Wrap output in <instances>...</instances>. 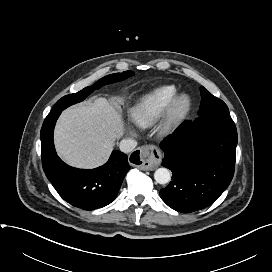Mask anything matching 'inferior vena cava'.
I'll use <instances>...</instances> for the list:
<instances>
[{
  "mask_svg": "<svg viewBox=\"0 0 272 272\" xmlns=\"http://www.w3.org/2000/svg\"><path fill=\"white\" fill-rule=\"evenodd\" d=\"M137 142L133 139H123L119 144V148L124 153H129L135 149Z\"/></svg>",
  "mask_w": 272,
  "mask_h": 272,
  "instance_id": "602c4592",
  "label": "inferior vena cava"
}]
</instances>
